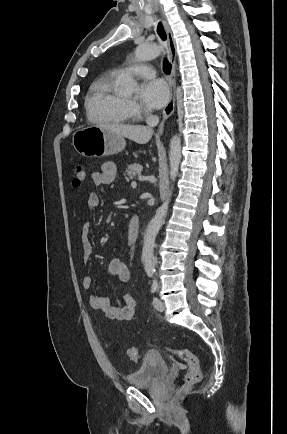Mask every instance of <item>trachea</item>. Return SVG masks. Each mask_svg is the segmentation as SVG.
<instances>
[{
    "label": "trachea",
    "mask_w": 287,
    "mask_h": 434,
    "mask_svg": "<svg viewBox=\"0 0 287 434\" xmlns=\"http://www.w3.org/2000/svg\"><path fill=\"white\" fill-rule=\"evenodd\" d=\"M157 33L163 41L166 40V33H165L163 25L160 22L158 23V26H157ZM171 69H172V66H171L170 62L168 61L167 58H165L164 63H163L164 73L170 74Z\"/></svg>",
    "instance_id": "trachea-1"
}]
</instances>
